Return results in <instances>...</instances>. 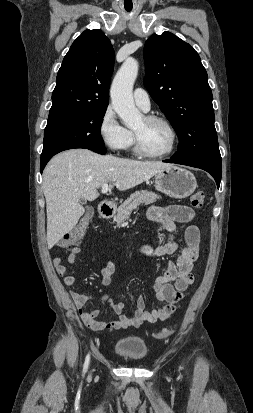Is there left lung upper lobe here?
Instances as JSON below:
<instances>
[{"label": "left lung upper lobe", "mask_w": 253, "mask_h": 413, "mask_svg": "<svg viewBox=\"0 0 253 413\" xmlns=\"http://www.w3.org/2000/svg\"><path fill=\"white\" fill-rule=\"evenodd\" d=\"M144 85L179 137L177 159L221 160L207 72L193 47L170 32L144 46Z\"/></svg>", "instance_id": "obj_1"}]
</instances>
